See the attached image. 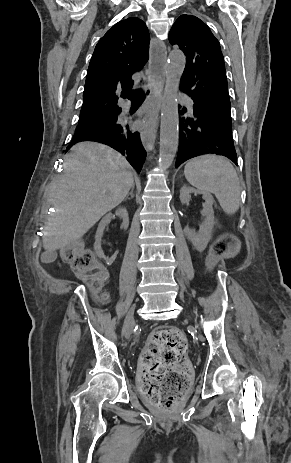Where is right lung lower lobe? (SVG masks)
Wrapping results in <instances>:
<instances>
[{
    "mask_svg": "<svg viewBox=\"0 0 291 463\" xmlns=\"http://www.w3.org/2000/svg\"><path fill=\"white\" fill-rule=\"evenodd\" d=\"M120 111L116 112V117L113 119L76 131L67 149L78 142H100L120 152L139 173L145 161L146 151L139 133L131 131L128 125L117 122Z\"/></svg>",
    "mask_w": 291,
    "mask_h": 463,
    "instance_id": "98d812e1",
    "label": "right lung lower lobe"
}]
</instances>
